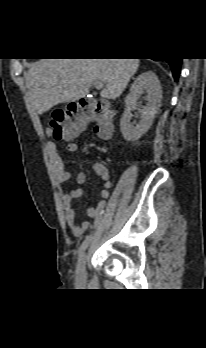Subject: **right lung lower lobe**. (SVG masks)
<instances>
[{
  "mask_svg": "<svg viewBox=\"0 0 206 348\" xmlns=\"http://www.w3.org/2000/svg\"><path fill=\"white\" fill-rule=\"evenodd\" d=\"M165 61H167L170 64L173 77H174L175 81H177L178 77H179V73H180L182 59L181 58H168V59H165Z\"/></svg>",
  "mask_w": 206,
  "mask_h": 348,
  "instance_id": "1",
  "label": "right lung lower lobe"
}]
</instances>
